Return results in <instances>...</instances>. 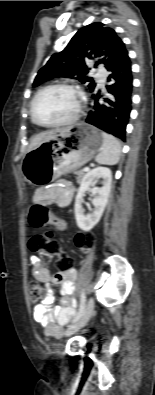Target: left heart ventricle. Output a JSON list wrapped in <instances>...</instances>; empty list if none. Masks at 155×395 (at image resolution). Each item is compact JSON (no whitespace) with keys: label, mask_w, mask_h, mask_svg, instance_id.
<instances>
[{"label":"left heart ventricle","mask_w":155,"mask_h":395,"mask_svg":"<svg viewBox=\"0 0 155 395\" xmlns=\"http://www.w3.org/2000/svg\"><path fill=\"white\" fill-rule=\"evenodd\" d=\"M77 106V97L69 89L53 88L43 92L36 100V119L44 124L55 123L69 118Z\"/></svg>","instance_id":"b2bd125f"}]
</instances>
